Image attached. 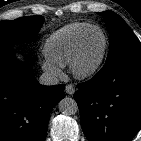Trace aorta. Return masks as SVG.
Segmentation results:
<instances>
[{
    "mask_svg": "<svg viewBox=\"0 0 141 141\" xmlns=\"http://www.w3.org/2000/svg\"><path fill=\"white\" fill-rule=\"evenodd\" d=\"M59 111L65 115H74L78 112V105L73 98L65 97L58 103Z\"/></svg>",
    "mask_w": 141,
    "mask_h": 141,
    "instance_id": "obj_1",
    "label": "aorta"
}]
</instances>
